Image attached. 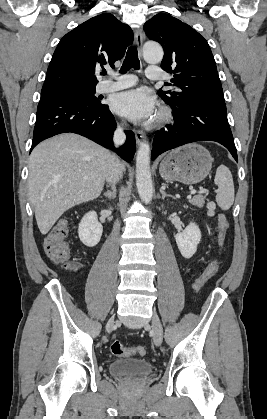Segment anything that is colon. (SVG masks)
I'll list each match as a JSON object with an SVG mask.
<instances>
[{"mask_svg": "<svg viewBox=\"0 0 267 419\" xmlns=\"http://www.w3.org/2000/svg\"><path fill=\"white\" fill-rule=\"evenodd\" d=\"M69 221L67 219H62L58 221L49 233L46 235L43 243L45 253L51 261L55 264H58L67 269H75L76 263L73 261L69 246L66 242V237L69 232ZM229 224L224 215L218 216V244L223 245L226 232L228 230ZM218 270V261H211L208 266L205 268L201 276L196 280L194 284V290L196 292L200 291L204 284L210 280ZM110 352L115 356H143L146 354L147 350L144 346H136L131 348H126L123 344L115 340L110 345Z\"/></svg>", "mask_w": 267, "mask_h": 419, "instance_id": "1", "label": "colon"}]
</instances>
